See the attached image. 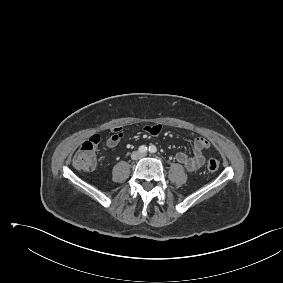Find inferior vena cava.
<instances>
[{
  "label": "inferior vena cava",
  "mask_w": 283,
  "mask_h": 283,
  "mask_svg": "<svg viewBox=\"0 0 283 283\" xmlns=\"http://www.w3.org/2000/svg\"><path fill=\"white\" fill-rule=\"evenodd\" d=\"M140 156H141V154H136V155H135V154H132V158H133V159H137V158L140 157Z\"/></svg>",
  "instance_id": "1"
}]
</instances>
